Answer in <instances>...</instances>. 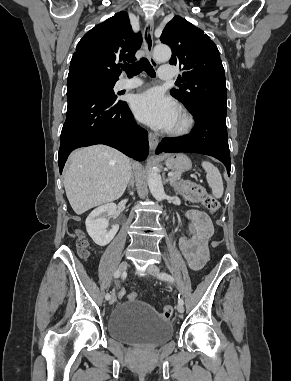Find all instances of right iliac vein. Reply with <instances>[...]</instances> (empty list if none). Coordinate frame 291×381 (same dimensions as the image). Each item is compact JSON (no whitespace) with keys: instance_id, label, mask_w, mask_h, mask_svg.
Instances as JSON below:
<instances>
[{"instance_id":"obj_1","label":"right iliac vein","mask_w":291,"mask_h":381,"mask_svg":"<svg viewBox=\"0 0 291 381\" xmlns=\"http://www.w3.org/2000/svg\"><path fill=\"white\" fill-rule=\"evenodd\" d=\"M128 263L126 261H123L118 268V271L120 273H124L127 270ZM116 301V295L113 293L112 296L109 299V303L113 304Z\"/></svg>"}]
</instances>
